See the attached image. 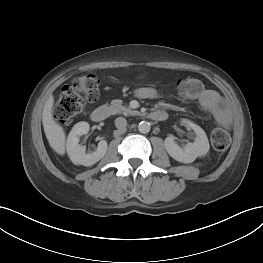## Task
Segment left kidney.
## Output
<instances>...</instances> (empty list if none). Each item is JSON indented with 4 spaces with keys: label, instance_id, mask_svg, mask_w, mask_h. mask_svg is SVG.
Listing matches in <instances>:
<instances>
[{
    "label": "left kidney",
    "instance_id": "5707ae66",
    "mask_svg": "<svg viewBox=\"0 0 263 263\" xmlns=\"http://www.w3.org/2000/svg\"><path fill=\"white\" fill-rule=\"evenodd\" d=\"M183 123L195 132V141L193 143H187L184 147H180L176 143L175 137L169 136L164 141L165 148L168 154L176 161L192 163L197 157L206 155L210 146L206 133L200 126L186 120L183 121Z\"/></svg>",
    "mask_w": 263,
    "mask_h": 263
}]
</instances>
